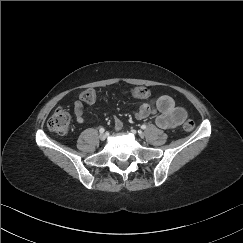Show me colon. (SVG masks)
<instances>
[{
    "instance_id": "5ec220e1",
    "label": "colon",
    "mask_w": 243,
    "mask_h": 243,
    "mask_svg": "<svg viewBox=\"0 0 243 243\" xmlns=\"http://www.w3.org/2000/svg\"><path fill=\"white\" fill-rule=\"evenodd\" d=\"M133 97L137 99H143L148 96V90L144 87H137L132 91ZM80 98L85 103H93L96 99V94L93 89H87L83 91ZM47 126L50 131L59 135H65L70 130V117L66 110L59 108L50 116L47 122ZM194 128V122L187 120L183 124L185 131H191Z\"/></svg>"
}]
</instances>
